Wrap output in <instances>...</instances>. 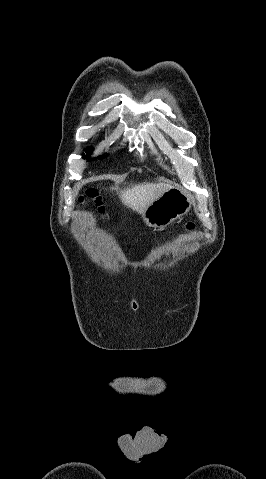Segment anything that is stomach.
<instances>
[{"mask_svg":"<svg viewBox=\"0 0 266 479\" xmlns=\"http://www.w3.org/2000/svg\"><path fill=\"white\" fill-rule=\"evenodd\" d=\"M192 204L182 189L171 187L146 208L142 218L148 226L163 229L187 214Z\"/></svg>","mask_w":266,"mask_h":479,"instance_id":"stomach-1","label":"stomach"}]
</instances>
